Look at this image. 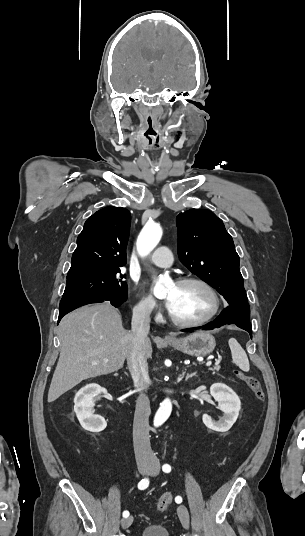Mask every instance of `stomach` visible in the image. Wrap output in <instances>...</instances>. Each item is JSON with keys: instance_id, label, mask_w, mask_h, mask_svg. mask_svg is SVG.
<instances>
[{"instance_id": "obj_1", "label": "stomach", "mask_w": 305, "mask_h": 536, "mask_svg": "<svg viewBox=\"0 0 305 536\" xmlns=\"http://www.w3.org/2000/svg\"><path fill=\"white\" fill-rule=\"evenodd\" d=\"M168 344L183 354L201 356V358L211 354L216 346L215 338L209 332H195V334L181 338V340H177V338L168 340Z\"/></svg>"}]
</instances>
